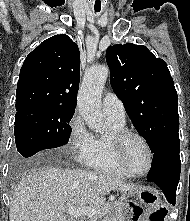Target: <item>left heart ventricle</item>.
<instances>
[{"mask_svg": "<svg viewBox=\"0 0 190 221\" xmlns=\"http://www.w3.org/2000/svg\"><path fill=\"white\" fill-rule=\"evenodd\" d=\"M124 159L129 168L136 172H142L148 166L149 155L139 139L129 137L124 144Z\"/></svg>", "mask_w": 190, "mask_h": 221, "instance_id": "b2bd125f", "label": "left heart ventricle"}]
</instances>
